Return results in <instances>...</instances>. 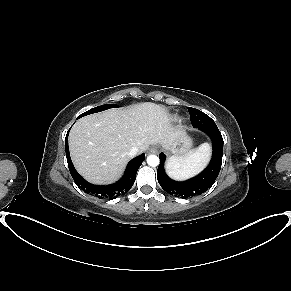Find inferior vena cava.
Instances as JSON below:
<instances>
[{
    "mask_svg": "<svg viewBox=\"0 0 291 291\" xmlns=\"http://www.w3.org/2000/svg\"><path fill=\"white\" fill-rule=\"evenodd\" d=\"M138 152H139L138 147L134 146L129 150L128 155L129 157H134L135 155H137Z\"/></svg>",
    "mask_w": 291,
    "mask_h": 291,
    "instance_id": "obj_1",
    "label": "inferior vena cava"
}]
</instances>
